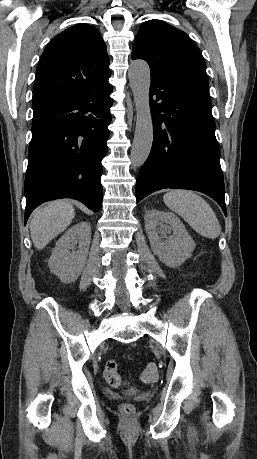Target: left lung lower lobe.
I'll use <instances>...</instances> for the list:
<instances>
[{"label": "left lung lower lobe", "mask_w": 257, "mask_h": 459, "mask_svg": "<svg viewBox=\"0 0 257 459\" xmlns=\"http://www.w3.org/2000/svg\"><path fill=\"white\" fill-rule=\"evenodd\" d=\"M153 145L136 181L137 203L163 188L203 192L226 215L224 180L208 82L151 77Z\"/></svg>", "instance_id": "0a47b994"}]
</instances>
